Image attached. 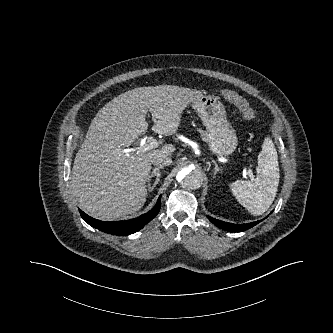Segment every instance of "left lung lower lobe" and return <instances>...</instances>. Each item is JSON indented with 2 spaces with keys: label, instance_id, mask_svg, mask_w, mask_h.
<instances>
[{
  "label": "left lung lower lobe",
  "instance_id": "left-lung-lower-lobe-1",
  "mask_svg": "<svg viewBox=\"0 0 333 333\" xmlns=\"http://www.w3.org/2000/svg\"><path fill=\"white\" fill-rule=\"evenodd\" d=\"M208 219L215 224L216 226H218L219 228L226 230V231H230V232H240V231H245L247 229L252 228L253 226H255L256 224H258L260 221H256V222H252V223H248V224H231V223H226L217 219H214L212 217L208 216Z\"/></svg>",
  "mask_w": 333,
  "mask_h": 333
}]
</instances>
